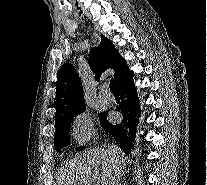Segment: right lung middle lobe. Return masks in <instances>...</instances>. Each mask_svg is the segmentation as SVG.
Listing matches in <instances>:
<instances>
[{
  "instance_id": "1",
  "label": "right lung middle lobe",
  "mask_w": 207,
  "mask_h": 185,
  "mask_svg": "<svg viewBox=\"0 0 207 185\" xmlns=\"http://www.w3.org/2000/svg\"><path fill=\"white\" fill-rule=\"evenodd\" d=\"M107 113L108 111L99 114L101 125H103L107 121L106 119ZM71 122L72 120L68 124L56 128L55 137H54V147L57 152H59L63 147L69 144V140H70L69 131H70ZM82 149H84V147L81 146L77 150H82Z\"/></svg>"
}]
</instances>
